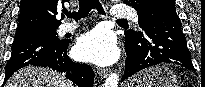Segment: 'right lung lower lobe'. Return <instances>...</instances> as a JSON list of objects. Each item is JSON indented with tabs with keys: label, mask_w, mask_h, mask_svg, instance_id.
Wrapping results in <instances>:
<instances>
[{
	"label": "right lung lower lobe",
	"mask_w": 205,
	"mask_h": 87,
	"mask_svg": "<svg viewBox=\"0 0 205 87\" xmlns=\"http://www.w3.org/2000/svg\"><path fill=\"white\" fill-rule=\"evenodd\" d=\"M69 41L43 35L16 37L11 58L5 67L4 84L17 70L28 66L50 67L65 74L79 87H92L94 74L87 64L71 61L67 55Z\"/></svg>",
	"instance_id": "right-lung-lower-lobe-1"
}]
</instances>
